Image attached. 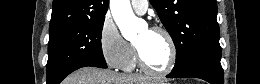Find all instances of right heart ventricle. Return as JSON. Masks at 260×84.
<instances>
[{"label":"right heart ventricle","mask_w":260,"mask_h":84,"mask_svg":"<svg viewBox=\"0 0 260 84\" xmlns=\"http://www.w3.org/2000/svg\"><path fill=\"white\" fill-rule=\"evenodd\" d=\"M130 46H131L130 56H129L128 60L126 61V63L124 64V66L121 68L126 72L133 71L137 65L135 49L131 44H130Z\"/></svg>","instance_id":"e07e8e85"}]
</instances>
